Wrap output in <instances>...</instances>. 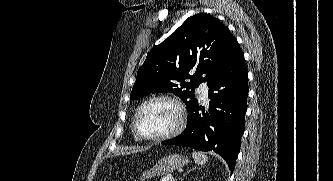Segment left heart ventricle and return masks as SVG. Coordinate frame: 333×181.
Listing matches in <instances>:
<instances>
[{
  "instance_id": "obj_1",
  "label": "left heart ventricle",
  "mask_w": 333,
  "mask_h": 181,
  "mask_svg": "<svg viewBox=\"0 0 333 181\" xmlns=\"http://www.w3.org/2000/svg\"><path fill=\"white\" fill-rule=\"evenodd\" d=\"M178 120L176 107L168 101H154L143 108L137 126L145 136H159L174 128Z\"/></svg>"
}]
</instances>
